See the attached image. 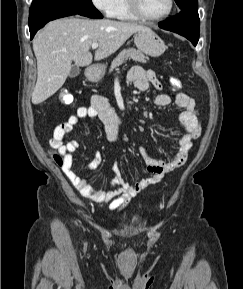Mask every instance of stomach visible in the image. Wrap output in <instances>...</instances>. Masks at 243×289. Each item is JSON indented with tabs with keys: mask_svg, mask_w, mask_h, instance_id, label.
<instances>
[{
	"mask_svg": "<svg viewBox=\"0 0 243 289\" xmlns=\"http://www.w3.org/2000/svg\"><path fill=\"white\" fill-rule=\"evenodd\" d=\"M136 47L151 57L160 56L166 49L164 41L150 28L145 27L134 35ZM105 74L104 66H97L87 71L86 76L90 81H99Z\"/></svg>",
	"mask_w": 243,
	"mask_h": 289,
	"instance_id": "0dacf381",
	"label": "stomach"
}]
</instances>
